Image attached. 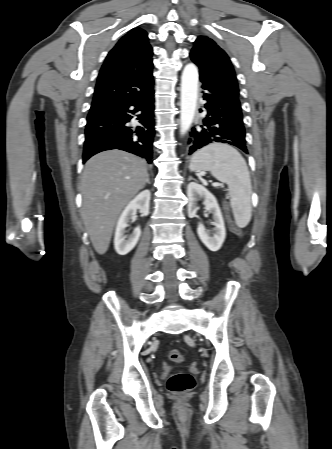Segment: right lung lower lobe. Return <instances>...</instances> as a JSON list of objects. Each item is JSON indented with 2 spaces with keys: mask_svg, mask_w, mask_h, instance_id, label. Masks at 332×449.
<instances>
[{
  "mask_svg": "<svg viewBox=\"0 0 332 449\" xmlns=\"http://www.w3.org/2000/svg\"><path fill=\"white\" fill-rule=\"evenodd\" d=\"M136 117L137 125L130 120ZM154 91L127 101L90 109L85 129L83 162L111 149L124 150L152 163Z\"/></svg>",
  "mask_w": 332,
  "mask_h": 449,
  "instance_id": "right-lung-lower-lobe-1",
  "label": "right lung lower lobe"
}]
</instances>
